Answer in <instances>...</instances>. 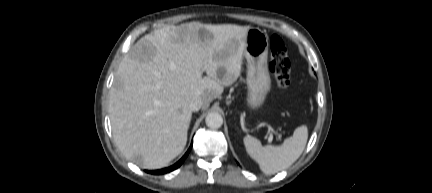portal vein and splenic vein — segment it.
Listing matches in <instances>:
<instances>
[{
	"mask_svg": "<svg viewBox=\"0 0 432 193\" xmlns=\"http://www.w3.org/2000/svg\"><path fill=\"white\" fill-rule=\"evenodd\" d=\"M269 130L271 131V132H273V129L271 128V127H269ZM272 140V135L269 137V141H271Z\"/></svg>",
	"mask_w": 432,
	"mask_h": 193,
	"instance_id": "18ae733b",
	"label": "portal vein and splenic vein"
}]
</instances>
